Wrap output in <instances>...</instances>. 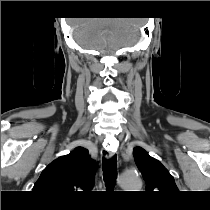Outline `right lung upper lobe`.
<instances>
[{
	"instance_id": "cb5924a9",
	"label": "right lung upper lobe",
	"mask_w": 210,
	"mask_h": 210,
	"mask_svg": "<svg viewBox=\"0 0 210 210\" xmlns=\"http://www.w3.org/2000/svg\"><path fill=\"white\" fill-rule=\"evenodd\" d=\"M96 168L97 163L90 158L88 150L76 147L43 170L33 191L57 203L69 202L77 197V191L92 189Z\"/></svg>"
}]
</instances>
